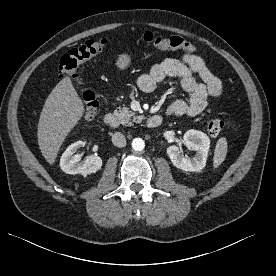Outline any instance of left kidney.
Wrapping results in <instances>:
<instances>
[{
    "instance_id": "5707ae66",
    "label": "left kidney",
    "mask_w": 276,
    "mask_h": 276,
    "mask_svg": "<svg viewBox=\"0 0 276 276\" xmlns=\"http://www.w3.org/2000/svg\"><path fill=\"white\" fill-rule=\"evenodd\" d=\"M182 142L187 148L196 151V154L193 158H187L181 154L178 146H169L167 154L172 164L183 171L198 172L202 170L208 157L209 137L201 131L191 129L184 134Z\"/></svg>"
}]
</instances>
